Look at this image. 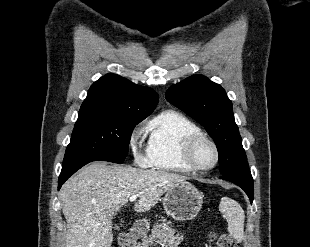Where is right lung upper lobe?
Segmentation results:
<instances>
[{
  "label": "right lung upper lobe",
  "instance_id": "obj_1",
  "mask_svg": "<svg viewBox=\"0 0 310 247\" xmlns=\"http://www.w3.org/2000/svg\"><path fill=\"white\" fill-rule=\"evenodd\" d=\"M158 103V94L124 77L107 74L93 83L81 105V114H117L147 117Z\"/></svg>",
  "mask_w": 310,
  "mask_h": 247
}]
</instances>
